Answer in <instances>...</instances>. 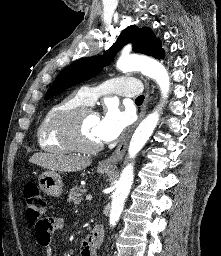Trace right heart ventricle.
I'll return each mask as SVG.
<instances>
[{"instance_id": "e07e8e85", "label": "right heart ventricle", "mask_w": 221, "mask_h": 256, "mask_svg": "<svg viewBox=\"0 0 221 256\" xmlns=\"http://www.w3.org/2000/svg\"><path fill=\"white\" fill-rule=\"evenodd\" d=\"M88 105L80 91L73 92L55 102L44 114L38 130L37 141L41 149L55 153H69L72 148L60 135V125L72 110Z\"/></svg>"}]
</instances>
